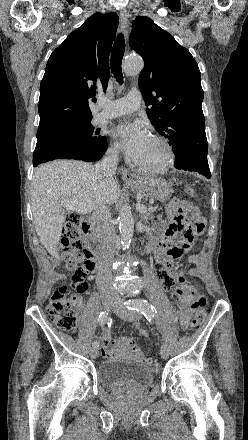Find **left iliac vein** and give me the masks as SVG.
Wrapping results in <instances>:
<instances>
[{
	"instance_id": "4c4485c4",
	"label": "left iliac vein",
	"mask_w": 248,
	"mask_h": 440,
	"mask_svg": "<svg viewBox=\"0 0 248 440\" xmlns=\"http://www.w3.org/2000/svg\"><path fill=\"white\" fill-rule=\"evenodd\" d=\"M112 309L116 315H118L120 318L127 320V321H135L140 318L139 313L127 310L123 306L122 299L119 297L115 300V304L112 307ZM160 354L163 359L168 358V355H169L168 348L165 345H163L161 347Z\"/></svg>"
}]
</instances>
